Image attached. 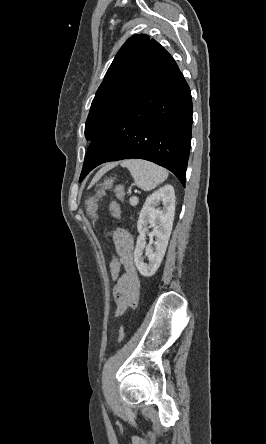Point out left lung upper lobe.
Masks as SVG:
<instances>
[{
	"instance_id": "5c2ea615",
	"label": "left lung upper lobe",
	"mask_w": 266,
	"mask_h": 444,
	"mask_svg": "<svg viewBox=\"0 0 266 444\" xmlns=\"http://www.w3.org/2000/svg\"><path fill=\"white\" fill-rule=\"evenodd\" d=\"M177 68L171 55L145 34L131 36L120 48L93 99L85 137L93 141L123 109Z\"/></svg>"
}]
</instances>
